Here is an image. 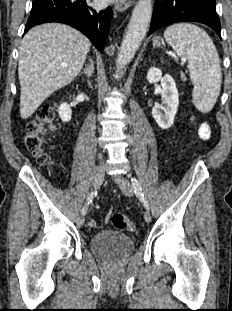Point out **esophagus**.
<instances>
[{
  "instance_id": "esophagus-1",
  "label": "esophagus",
  "mask_w": 232,
  "mask_h": 311,
  "mask_svg": "<svg viewBox=\"0 0 232 311\" xmlns=\"http://www.w3.org/2000/svg\"><path fill=\"white\" fill-rule=\"evenodd\" d=\"M132 4L131 0H123L115 4V9L119 12H125Z\"/></svg>"
}]
</instances>
